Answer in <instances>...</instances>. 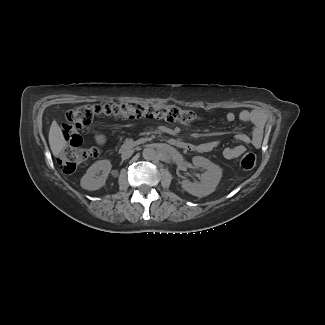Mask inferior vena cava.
Wrapping results in <instances>:
<instances>
[{"label": "inferior vena cava", "mask_w": 325, "mask_h": 325, "mask_svg": "<svg viewBox=\"0 0 325 325\" xmlns=\"http://www.w3.org/2000/svg\"><path fill=\"white\" fill-rule=\"evenodd\" d=\"M132 155V151L125 152L122 154V159H127Z\"/></svg>", "instance_id": "inferior-vena-cava-1"}]
</instances>
